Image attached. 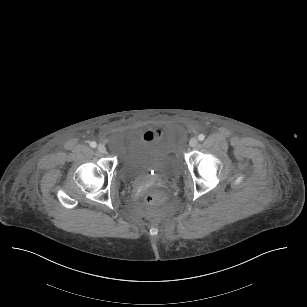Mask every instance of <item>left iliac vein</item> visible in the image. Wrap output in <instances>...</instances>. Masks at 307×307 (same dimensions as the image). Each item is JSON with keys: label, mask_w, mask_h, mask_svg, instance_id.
I'll list each match as a JSON object with an SVG mask.
<instances>
[{"label": "left iliac vein", "mask_w": 307, "mask_h": 307, "mask_svg": "<svg viewBox=\"0 0 307 307\" xmlns=\"http://www.w3.org/2000/svg\"><path fill=\"white\" fill-rule=\"evenodd\" d=\"M197 144H198L197 138H194V137H193V138L190 139L189 145H190L191 147H195Z\"/></svg>", "instance_id": "4c4485c4"}]
</instances>
